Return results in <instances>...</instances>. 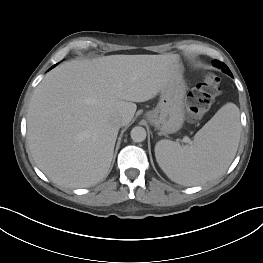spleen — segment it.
<instances>
[{
    "label": "spleen",
    "mask_w": 263,
    "mask_h": 263,
    "mask_svg": "<svg viewBox=\"0 0 263 263\" xmlns=\"http://www.w3.org/2000/svg\"><path fill=\"white\" fill-rule=\"evenodd\" d=\"M240 112L233 103L222 106L195 134L192 145L162 139L156 160L174 182L193 186L221 176L234 159L240 140Z\"/></svg>",
    "instance_id": "1"
}]
</instances>
